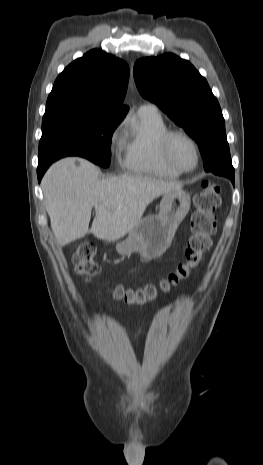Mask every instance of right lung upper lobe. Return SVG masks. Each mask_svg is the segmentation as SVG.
<instances>
[{
    "label": "right lung upper lobe",
    "instance_id": "1",
    "mask_svg": "<svg viewBox=\"0 0 263 465\" xmlns=\"http://www.w3.org/2000/svg\"><path fill=\"white\" fill-rule=\"evenodd\" d=\"M129 67L121 59L93 49L57 77L46 106L72 104L126 112L122 105Z\"/></svg>",
    "mask_w": 263,
    "mask_h": 465
}]
</instances>
